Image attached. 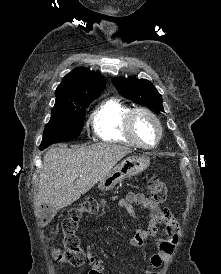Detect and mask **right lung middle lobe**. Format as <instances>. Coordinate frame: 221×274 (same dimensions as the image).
<instances>
[{
	"label": "right lung middle lobe",
	"instance_id": "obj_1",
	"mask_svg": "<svg viewBox=\"0 0 221 274\" xmlns=\"http://www.w3.org/2000/svg\"><path fill=\"white\" fill-rule=\"evenodd\" d=\"M100 94L79 97L74 100L55 103L51 119L47 123L40 149L57 142L69 141L77 137L83 127L85 109Z\"/></svg>",
	"mask_w": 221,
	"mask_h": 274
}]
</instances>
